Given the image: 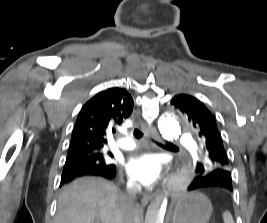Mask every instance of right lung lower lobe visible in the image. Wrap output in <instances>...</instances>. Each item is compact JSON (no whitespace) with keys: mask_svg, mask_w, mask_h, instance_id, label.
<instances>
[{"mask_svg":"<svg viewBox=\"0 0 267 223\" xmlns=\"http://www.w3.org/2000/svg\"><path fill=\"white\" fill-rule=\"evenodd\" d=\"M81 176H99L107 179H113L116 176V168L86 171V172H70L66 174L62 173L60 186H62L66 182L71 181L76 177H81Z\"/></svg>","mask_w":267,"mask_h":223,"instance_id":"98d812e1","label":"right lung lower lobe"}]
</instances>
